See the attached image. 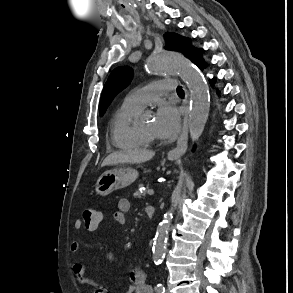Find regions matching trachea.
Returning a JSON list of instances; mask_svg holds the SVG:
<instances>
[{
    "instance_id": "obj_1",
    "label": "trachea",
    "mask_w": 293,
    "mask_h": 293,
    "mask_svg": "<svg viewBox=\"0 0 293 293\" xmlns=\"http://www.w3.org/2000/svg\"><path fill=\"white\" fill-rule=\"evenodd\" d=\"M177 92H178V93H183V90L181 89V87H179V88L177 89Z\"/></svg>"
}]
</instances>
